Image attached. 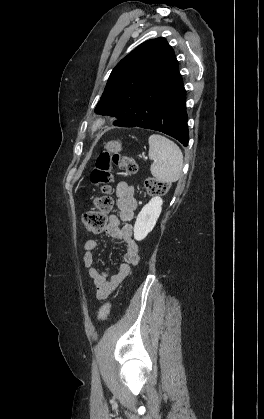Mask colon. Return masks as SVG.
<instances>
[{
  "instance_id": "1",
  "label": "colon",
  "mask_w": 264,
  "mask_h": 419,
  "mask_svg": "<svg viewBox=\"0 0 264 419\" xmlns=\"http://www.w3.org/2000/svg\"><path fill=\"white\" fill-rule=\"evenodd\" d=\"M129 173L137 172V164L135 160L123 154H110L102 152L95 164V168L90 174V180L98 186L99 195L93 199V209L87 211L82 219L83 228L90 233L101 232L106 224L107 213L112 208V199L110 197L111 182L113 179V167ZM145 187L150 195L165 194L169 189L167 182L160 181L155 178H149L145 181ZM110 303L103 304L98 312L101 321H105L110 312Z\"/></svg>"
}]
</instances>
